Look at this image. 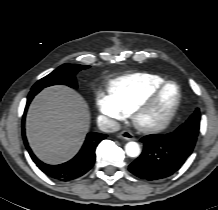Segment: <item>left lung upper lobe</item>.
<instances>
[{"label":"left lung upper lobe","mask_w":218,"mask_h":210,"mask_svg":"<svg viewBox=\"0 0 218 210\" xmlns=\"http://www.w3.org/2000/svg\"><path fill=\"white\" fill-rule=\"evenodd\" d=\"M200 111L197 108L190 118L180 126L183 135L191 136L192 140L196 141L200 127Z\"/></svg>","instance_id":"1"}]
</instances>
